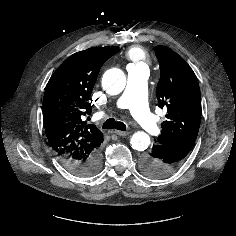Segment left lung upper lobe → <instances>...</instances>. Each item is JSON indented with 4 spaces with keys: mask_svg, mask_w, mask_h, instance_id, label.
<instances>
[{
    "mask_svg": "<svg viewBox=\"0 0 236 236\" xmlns=\"http://www.w3.org/2000/svg\"><path fill=\"white\" fill-rule=\"evenodd\" d=\"M161 77L157 85L158 106L167 110L158 144L195 143L201 120L200 88L190 66L166 46L155 49Z\"/></svg>",
    "mask_w": 236,
    "mask_h": 236,
    "instance_id": "1",
    "label": "left lung upper lobe"
}]
</instances>
